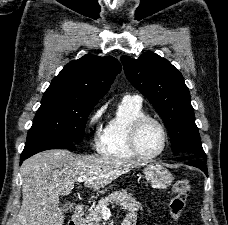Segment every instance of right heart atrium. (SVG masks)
<instances>
[{"instance_id":"1","label":"right heart atrium","mask_w":228,"mask_h":225,"mask_svg":"<svg viewBox=\"0 0 228 225\" xmlns=\"http://www.w3.org/2000/svg\"><path fill=\"white\" fill-rule=\"evenodd\" d=\"M105 110H106V105L102 104L96 107L95 109H93L87 118V126L93 132L95 142L97 141L98 134H99L98 124Z\"/></svg>"}]
</instances>
